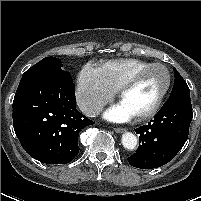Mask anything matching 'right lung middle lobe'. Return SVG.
Here are the masks:
<instances>
[{"mask_svg": "<svg viewBox=\"0 0 201 201\" xmlns=\"http://www.w3.org/2000/svg\"><path fill=\"white\" fill-rule=\"evenodd\" d=\"M61 61L55 57H45L31 68H29L23 75L29 73L42 72L51 75L62 76L72 80L69 72L62 70Z\"/></svg>", "mask_w": 201, "mask_h": 201, "instance_id": "right-lung-middle-lobe-1", "label": "right lung middle lobe"}]
</instances>
